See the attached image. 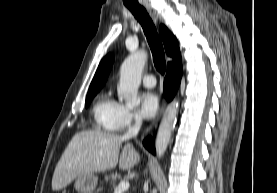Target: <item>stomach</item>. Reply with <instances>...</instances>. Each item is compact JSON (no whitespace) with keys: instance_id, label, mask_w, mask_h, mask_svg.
<instances>
[{"instance_id":"1","label":"stomach","mask_w":277,"mask_h":193,"mask_svg":"<svg viewBox=\"0 0 277 193\" xmlns=\"http://www.w3.org/2000/svg\"><path fill=\"white\" fill-rule=\"evenodd\" d=\"M98 178L94 173H87L76 178L74 187L79 193H93Z\"/></svg>"}]
</instances>
